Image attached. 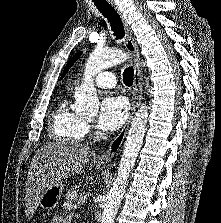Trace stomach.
<instances>
[{
    "label": "stomach",
    "instance_id": "0dacf381",
    "mask_svg": "<svg viewBox=\"0 0 221 223\" xmlns=\"http://www.w3.org/2000/svg\"><path fill=\"white\" fill-rule=\"evenodd\" d=\"M104 167V165H96V169L98 170H102ZM64 188L65 186L62 183H55L47 188V190L40 196V206L45 210L55 208L60 202Z\"/></svg>",
    "mask_w": 221,
    "mask_h": 223
}]
</instances>
